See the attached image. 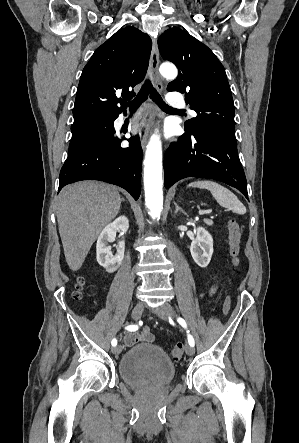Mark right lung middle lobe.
<instances>
[{
	"label": "right lung middle lobe",
	"mask_w": 299,
	"mask_h": 443,
	"mask_svg": "<svg viewBox=\"0 0 299 443\" xmlns=\"http://www.w3.org/2000/svg\"><path fill=\"white\" fill-rule=\"evenodd\" d=\"M112 131H114V127L110 116L94 117L74 123L69 154L76 152L93 140L107 137Z\"/></svg>",
	"instance_id": "obj_1"
}]
</instances>
